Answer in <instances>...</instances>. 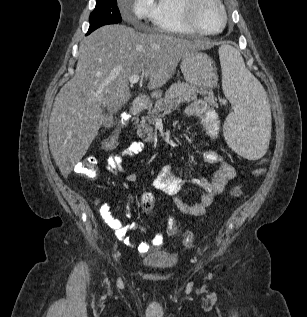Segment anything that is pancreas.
<instances>
[{"label": "pancreas", "mask_w": 307, "mask_h": 317, "mask_svg": "<svg viewBox=\"0 0 307 317\" xmlns=\"http://www.w3.org/2000/svg\"><path fill=\"white\" fill-rule=\"evenodd\" d=\"M202 89H197L195 86L189 85L186 82H177L165 92L164 98H161V92L156 93L158 98L154 107H148L146 116H142L140 124L137 125V135L144 142H153L157 139V135L153 133V128L157 116L165 115L173 110H176L180 104L190 102L197 99V94H204Z\"/></svg>", "instance_id": "1"}]
</instances>
